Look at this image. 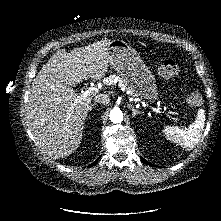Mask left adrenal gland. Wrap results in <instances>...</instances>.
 <instances>
[{"label":"left adrenal gland","mask_w":221,"mask_h":221,"mask_svg":"<svg viewBox=\"0 0 221 221\" xmlns=\"http://www.w3.org/2000/svg\"><path fill=\"white\" fill-rule=\"evenodd\" d=\"M128 107L132 110V115L135 117L138 114H143V112L136 110L132 105L128 104Z\"/></svg>","instance_id":"1"}]
</instances>
